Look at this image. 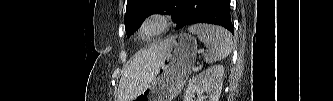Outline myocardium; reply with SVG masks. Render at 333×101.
<instances>
[{
  "mask_svg": "<svg viewBox=\"0 0 333 101\" xmlns=\"http://www.w3.org/2000/svg\"><path fill=\"white\" fill-rule=\"evenodd\" d=\"M155 24V31L151 34H145L144 30L148 25ZM172 20L169 14L165 12H154L147 15L139 24L138 34L144 40H152L163 35L171 27Z\"/></svg>",
  "mask_w": 333,
  "mask_h": 101,
  "instance_id": "f54148a6",
  "label": "myocardium"
}]
</instances>
